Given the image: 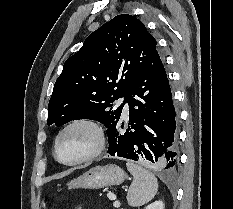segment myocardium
Listing matches in <instances>:
<instances>
[{
    "mask_svg": "<svg viewBox=\"0 0 233 209\" xmlns=\"http://www.w3.org/2000/svg\"><path fill=\"white\" fill-rule=\"evenodd\" d=\"M76 126H86L94 132L95 134L94 148L88 154L82 156L81 158H78L70 162L64 161L58 155V146L60 139L69 129ZM105 145H106V135L102 125L93 118L80 117L68 122L57 134L54 142V157L59 163L63 165L76 166L88 162L99 156L103 152Z\"/></svg>",
    "mask_w": 233,
    "mask_h": 209,
    "instance_id": "obj_1",
    "label": "myocardium"
}]
</instances>
